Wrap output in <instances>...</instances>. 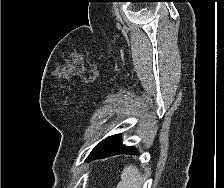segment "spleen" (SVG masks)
<instances>
[{"label": "spleen", "instance_id": "1", "mask_svg": "<svg viewBox=\"0 0 224 188\" xmlns=\"http://www.w3.org/2000/svg\"><path fill=\"white\" fill-rule=\"evenodd\" d=\"M141 183L140 172L135 166L129 165L123 169L121 181L117 184L116 188H140Z\"/></svg>", "mask_w": 224, "mask_h": 188}]
</instances>
